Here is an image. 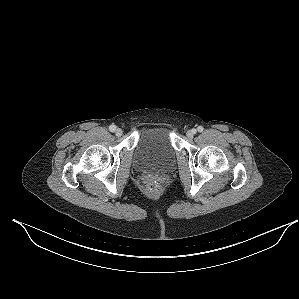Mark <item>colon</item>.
<instances>
[{
	"mask_svg": "<svg viewBox=\"0 0 299 299\" xmlns=\"http://www.w3.org/2000/svg\"><path fill=\"white\" fill-rule=\"evenodd\" d=\"M148 190L151 194L156 195L160 190V184L156 180L148 182Z\"/></svg>",
	"mask_w": 299,
	"mask_h": 299,
	"instance_id": "colon-1",
	"label": "colon"
}]
</instances>
